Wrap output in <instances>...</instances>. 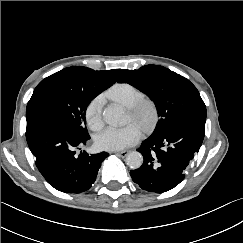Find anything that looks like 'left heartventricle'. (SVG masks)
<instances>
[{
	"label": "left heart ventricle",
	"mask_w": 243,
	"mask_h": 243,
	"mask_svg": "<svg viewBox=\"0 0 243 243\" xmlns=\"http://www.w3.org/2000/svg\"><path fill=\"white\" fill-rule=\"evenodd\" d=\"M129 121L135 122L136 124H138L141 127V124L143 122V120H136L134 119V117L132 116V114L129 112Z\"/></svg>",
	"instance_id": "1"
}]
</instances>
